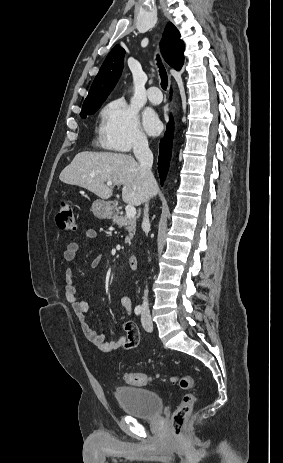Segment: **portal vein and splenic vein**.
I'll use <instances>...</instances> for the list:
<instances>
[{"label": "portal vein and splenic vein", "instance_id": "obj_1", "mask_svg": "<svg viewBox=\"0 0 283 463\" xmlns=\"http://www.w3.org/2000/svg\"><path fill=\"white\" fill-rule=\"evenodd\" d=\"M106 184H107V186H112V182H107ZM125 211H126V216L128 218H134L135 215H136V209L131 204L126 205Z\"/></svg>", "mask_w": 283, "mask_h": 463}]
</instances>
